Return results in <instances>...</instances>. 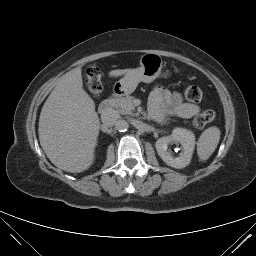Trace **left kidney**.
<instances>
[{
	"mask_svg": "<svg viewBox=\"0 0 256 256\" xmlns=\"http://www.w3.org/2000/svg\"><path fill=\"white\" fill-rule=\"evenodd\" d=\"M171 142L180 143L183 152L176 158L168 152V145ZM195 135L184 128H175L170 136L159 138L156 143V151L161 159L169 166L181 169L186 167L192 158L195 147Z\"/></svg>",
	"mask_w": 256,
	"mask_h": 256,
	"instance_id": "5707ae66",
	"label": "left kidney"
}]
</instances>
